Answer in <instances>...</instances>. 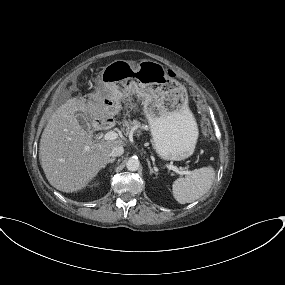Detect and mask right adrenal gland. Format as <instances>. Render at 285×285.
<instances>
[{"mask_svg": "<svg viewBox=\"0 0 285 285\" xmlns=\"http://www.w3.org/2000/svg\"><path fill=\"white\" fill-rule=\"evenodd\" d=\"M115 161V158H111L108 160V163H113Z\"/></svg>", "mask_w": 285, "mask_h": 285, "instance_id": "2a0ac1e0", "label": "right adrenal gland"}]
</instances>
